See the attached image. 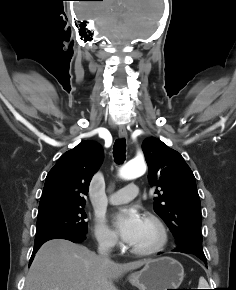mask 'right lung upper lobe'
I'll return each instance as SVG.
<instances>
[{"label":"right lung upper lobe","mask_w":236,"mask_h":290,"mask_svg":"<svg viewBox=\"0 0 236 290\" xmlns=\"http://www.w3.org/2000/svg\"><path fill=\"white\" fill-rule=\"evenodd\" d=\"M102 160L101 146L92 141H83L64 153L46 177L39 209L85 205L84 195Z\"/></svg>","instance_id":"obj_1"}]
</instances>
